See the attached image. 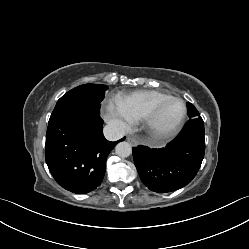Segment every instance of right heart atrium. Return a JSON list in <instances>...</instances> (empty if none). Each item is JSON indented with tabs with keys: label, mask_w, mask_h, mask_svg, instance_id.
<instances>
[{
	"label": "right heart atrium",
	"mask_w": 249,
	"mask_h": 249,
	"mask_svg": "<svg viewBox=\"0 0 249 249\" xmlns=\"http://www.w3.org/2000/svg\"><path fill=\"white\" fill-rule=\"evenodd\" d=\"M104 119L117 131L126 132L136 119L116 100H109L103 106Z\"/></svg>",
	"instance_id": "obj_1"
}]
</instances>
